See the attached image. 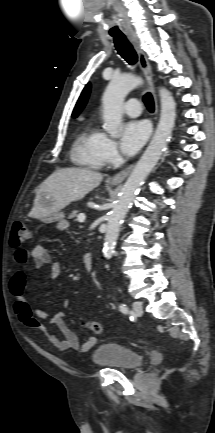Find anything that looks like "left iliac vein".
Wrapping results in <instances>:
<instances>
[{"label":"left iliac vein","instance_id":"left-iliac-vein-1","mask_svg":"<svg viewBox=\"0 0 215 433\" xmlns=\"http://www.w3.org/2000/svg\"><path fill=\"white\" fill-rule=\"evenodd\" d=\"M132 307H133L134 314L136 316H141L143 314V307L140 302L134 301Z\"/></svg>","mask_w":215,"mask_h":433}]
</instances>
